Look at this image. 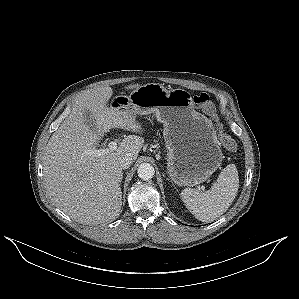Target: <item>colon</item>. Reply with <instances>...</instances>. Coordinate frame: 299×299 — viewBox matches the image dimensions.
<instances>
[{
    "label": "colon",
    "mask_w": 299,
    "mask_h": 299,
    "mask_svg": "<svg viewBox=\"0 0 299 299\" xmlns=\"http://www.w3.org/2000/svg\"><path fill=\"white\" fill-rule=\"evenodd\" d=\"M193 100L196 104H198L201 107V109L205 113L210 115L218 123V137L224 148H226L227 150H234L236 147L235 141L231 138V136H229L222 130V125L218 122V115L216 112L215 105L211 100L210 96L206 93H200L194 96Z\"/></svg>",
    "instance_id": "colon-1"
}]
</instances>
